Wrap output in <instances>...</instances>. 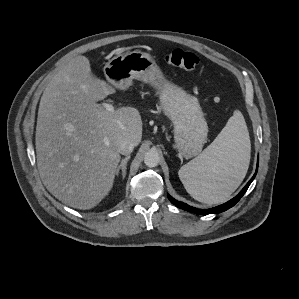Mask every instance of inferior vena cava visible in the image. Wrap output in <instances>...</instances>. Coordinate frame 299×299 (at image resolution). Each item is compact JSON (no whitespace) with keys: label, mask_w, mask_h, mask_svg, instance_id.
Listing matches in <instances>:
<instances>
[{"label":"inferior vena cava","mask_w":299,"mask_h":299,"mask_svg":"<svg viewBox=\"0 0 299 299\" xmlns=\"http://www.w3.org/2000/svg\"><path fill=\"white\" fill-rule=\"evenodd\" d=\"M135 143L130 140H122L118 146V152L122 155H129L132 153Z\"/></svg>","instance_id":"602c4592"}]
</instances>
